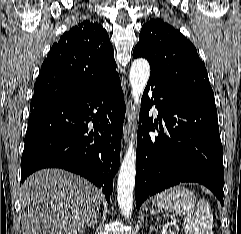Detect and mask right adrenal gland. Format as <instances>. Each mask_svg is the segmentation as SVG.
<instances>
[{
	"label": "right adrenal gland",
	"mask_w": 241,
	"mask_h": 234,
	"mask_svg": "<svg viewBox=\"0 0 241 234\" xmlns=\"http://www.w3.org/2000/svg\"><path fill=\"white\" fill-rule=\"evenodd\" d=\"M98 215H99V212H98L97 216L94 218V221L92 222V227H94L95 224L97 223Z\"/></svg>",
	"instance_id": "right-adrenal-gland-1"
}]
</instances>
